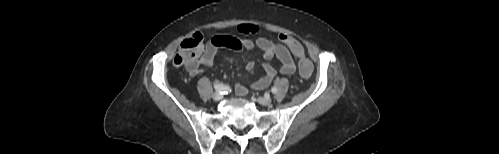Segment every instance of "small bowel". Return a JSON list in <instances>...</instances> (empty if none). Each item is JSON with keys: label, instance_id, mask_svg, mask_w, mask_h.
I'll return each mask as SVG.
<instances>
[{"label": "small bowel", "instance_id": "obj_1", "mask_svg": "<svg viewBox=\"0 0 499 154\" xmlns=\"http://www.w3.org/2000/svg\"><path fill=\"white\" fill-rule=\"evenodd\" d=\"M238 31L242 34H254L258 31V28L252 24H242L238 26ZM220 48H228L237 52L258 48L266 60H270L274 57L278 59L280 62L281 74L292 75L296 69L288 48L282 44H276L268 38L258 37L256 40H251L232 36H215L208 41L199 62L187 65V70L190 75L195 76L200 72V63L206 66L212 65L215 55ZM254 66L255 64L253 61H248L245 68L246 70L251 71L254 69ZM263 70V76L251 84L255 89H264L268 87L277 75L276 68L269 62L263 64ZM236 92L238 95L244 96L247 94L248 90L244 85L238 84L236 85Z\"/></svg>", "mask_w": 499, "mask_h": 154}]
</instances>
